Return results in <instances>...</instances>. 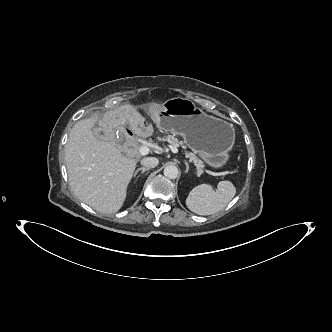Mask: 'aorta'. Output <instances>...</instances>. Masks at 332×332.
Masks as SVG:
<instances>
[{
    "instance_id": "obj_1",
    "label": "aorta",
    "mask_w": 332,
    "mask_h": 332,
    "mask_svg": "<svg viewBox=\"0 0 332 332\" xmlns=\"http://www.w3.org/2000/svg\"><path fill=\"white\" fill-rule=\"evenodd\" d=\"M178 168L174 165H168L164 168V176L168 179H176L178 177Z\"/></svg>"
}]
</instances>
